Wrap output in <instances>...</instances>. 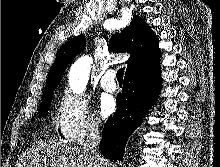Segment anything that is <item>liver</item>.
I'll return each mask as SVG.
<instances>
[{
    "mask_svg": "<svg viewBox=\"0 0 220 167\" xmlns=\"http://www.w3.org/2000/svg\"><path fill=\"white\" fill-rule=\"evenodd\" d=\"M16 167H107V161H96L80 147L40 140L21 154Z\"/></svg>",
    "mask_w": 220,
    "mask_h": 167,
    "instance_id": "6515ba94",
    "label": "liver"
}]
</instances>
